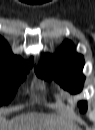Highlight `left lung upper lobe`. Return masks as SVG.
<instances>
[{"mask_svg":"<svg viewBox=\"0 0 95 130\" xmlns=\"http://www.w3.org/2000/svg\"><path fill=\"white\" fill-rule=\"evenodd\" d=\"M84 65L82 55L76 54L73 44L65 41L55 55H47L35 71L38 76L51 80L54 78L64 89L71 93H78L84 82L81 74ZM82 112L86 111L85 102L79 103Z\"/></svg>","mask_w":95,"mask_h":130,"instance_id":"5c2ea615","label":"left lung upper lobe"}]
</instances>
